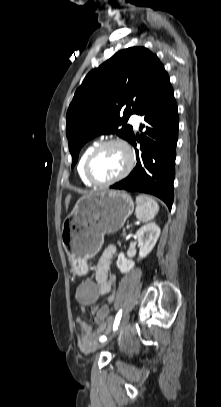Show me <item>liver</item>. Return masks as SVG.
Wrapping results in <instances>:
<instances>
[{"label": "liver", "instance_id": "1", "mask_svg": "<svg viewBox=\"0 0 221 407\" xmlns=\"http://www.w3.org/2000/svg\"><path fill=\"white\" fill-rule=\"evenodd\" d=\"M70 199H71V195L68 194L67 197L65 198V206H66V209L68 208V205H69V203H70Z\"/></svg>", "mask_w": 221, "mask_h": 407}]
</instances>
